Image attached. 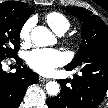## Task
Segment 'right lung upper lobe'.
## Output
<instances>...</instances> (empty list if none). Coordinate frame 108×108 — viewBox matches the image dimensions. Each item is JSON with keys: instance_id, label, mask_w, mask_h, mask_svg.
<instances>
[{"instance_id": "obj_1", "label": "right lung upper lobe", "mask_w": 108, "mask_h": 108, "mask_svg": "<svg viewBox=\"0 0 108 108\" xmlns=\"http://www.w3.org/2000/svg\"><path fill=\"white\" fill-rule=\"evenodd\" d=\"M8 2V1H7ZM16 2H18V1H16ZM22 3V2H21ZM22 4H25V3H22ZM26 5V4H25ZM27 6V5H26ZM31 14L33 13V10L32 9H30V8H26Z\"/></svg>"}]
</instances>
